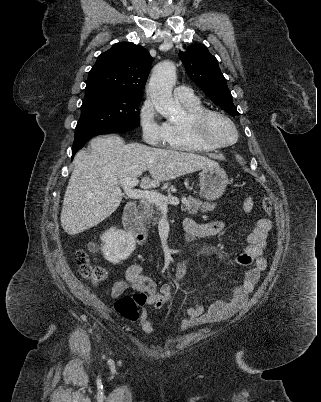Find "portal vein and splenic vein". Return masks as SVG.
Instances as JSON below:
<instances>
[{
    "label": "portal vein and splenic vein",
    "mask_w": 321,
    "mask_h": 402,
    "mask_svg": "<svg viewBox=\"0 0 321 402\" xmlns=\"http://www.w3.org/2000/svg\"><path fill=\"white\" fill-rule=\"evenodd\" d=\"M137 178H126L118 181V184L124 189L128 197L133 199H146L160 207H167L168 204H179L177 197H166L160 193L148 190H139L134 187L138 185Z\"/></svg>",
    "instance_id": "1"
}]
</instances>
